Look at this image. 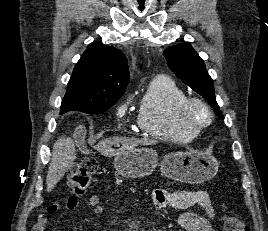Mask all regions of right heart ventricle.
Masks as SVG:
<instances>
[{
	"label": "right heart ventricle",
	"mask_w": 268,
	"mask_h": 231,
	"mask_svg": "<svg viewBox=\"0 0 268 231\" xmlns=\"http://www.w3.org/2000/svg\"><path fill=\"white\" fill-rule=\"evenodd\" d=\"M183 89L171 78L158 76L147 87L137 111V122L144 135L154 139L187 142L193 138L178 121Z\"/></svg>",
	"instance_id": "obj_1"
}]
</instances>
